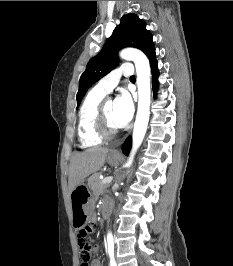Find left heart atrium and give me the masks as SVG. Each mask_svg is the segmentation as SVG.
<instances>
[{"label":"left heart atrium","mask_w":233,"mask_h":266,"mask_svg":"<svg viewBox=\"0 0 233 266\" xmlns=\"http://www.w3.org/2000/svg\"><path fill=\"white\" fill-rule=\"evenodd\" d=\"M134 104L126 91L121 92L114 100V121L117 127L126 126L133 117Z\"/></svg>","instance_id":"obj_1"}]
</instances>
